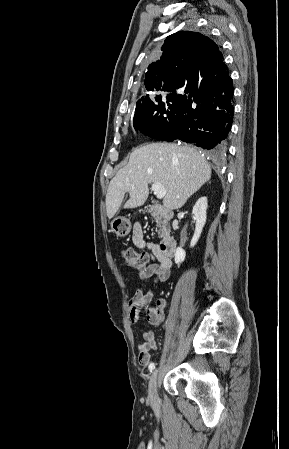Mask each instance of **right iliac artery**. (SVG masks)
Segmentation results:
<instances>
[{
    "label": "right iliac artery",
    "instance_id": "obj_1",
    "mask_svg": "<svg viewBox=\"0 0 289 449\" xmlns=\"http://www.w3.org/2000/svg\"><path fill=\"white\" fill-rule=\"evenodd\" d=\"M154 369H155V363L152 362L149 365V370H150V372H152Z\"/></svg>",
    "mask_w": 289,
    "mask_h": 449
}]
</instances>
